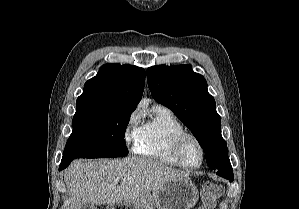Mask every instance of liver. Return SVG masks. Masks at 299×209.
<instances>
[{
  "mask_svg": "<svg viewBox=\"0 0 299 209\" xmlns=\"http://www.w3.org/2000/svg\"><path fill=\"white\" fill-rule=\"evenodd\" d=\"M188 173L156 160L128 157L122 160H96L71 163L64 174L71 199L70 209L83 203L116 205L133 202L161 185ZM116 180L120 185L116 186Z\"/></svg>",
  "mask_w": 299,
  "mask_h": 209,
  "instance_id": "liver-1",
  "label": "liver"
}]
</instances>
